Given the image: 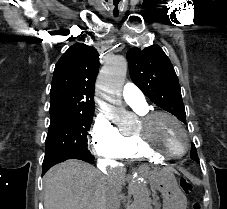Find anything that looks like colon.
I'll list each match as a JSON object with an SVG mask.
<instances>
[{
	"label": "colon",
	"instance_id": "obj_1",
	"mask_svg": "<svg viewBox=\"0 0 227 209\" xmlns=\"http://www.w3.org/2000/svg\"><path fill=\"white\" fill-rule=\"evenodd\" d=\"M179 186L186 193L191 191V189H192L191 182L188 179H185V178H182L180 180ZM191 209H201L200 203L198 201H194L192 203Z\"/></svg>",
	"mask_w": 227,
	"mask_h": 209
}]
</instances>
